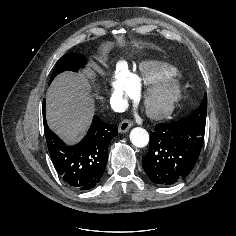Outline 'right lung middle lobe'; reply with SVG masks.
I'll return each mask as SVG.
<instances>
[{
    "instance_id": "dd1d6c3e",
    "label": "right lung middle lobe",
    "mask_w": 236,
    "mask_h": 236,
    "mask_svg": "<svg viewBox=\"0 0 236 236\" xmlns=\"http://www.w3.org/2000/svg\"><path fill=\"white\" fill-rule=\"evenodd\" d=\"M85 64L86 58L84 55H79L75 53L65 54L57 61L49 83H51L54 77L57 76L59 73L66 70L76 72L79 68H83Z\"/></svg>"
}]
</instances>
